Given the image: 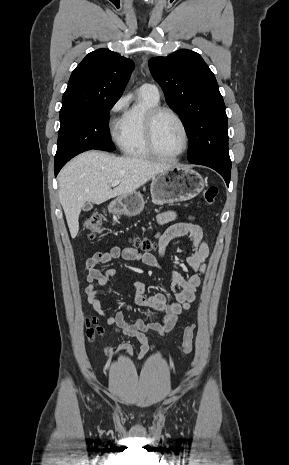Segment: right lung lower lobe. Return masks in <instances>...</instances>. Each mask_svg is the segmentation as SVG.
<instances>
[{"label": "right lung lower lobe", "mask_w": 289, "mask_h": 465, "mask_svg": "<svg viewBox=\"0 0 289 465\" xmlns=\"http://www.w3.org/2000/svg\"><path fill=\"white\" fill-rule=\"evenodd\" d=\"M69 161V160H64V161H60V162H55V176H57L58 172L60 171V169L65 165V163Z\"/></svg>", "instance_id": "98d812e1"}]
</instances>
